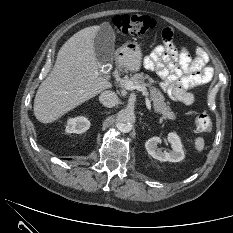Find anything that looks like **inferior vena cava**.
Instances as JSON below:
<instances>
[{
	"label": "inferior vena cava",
	"mask_w": 233,
	"mask_h": 233,
	"mask_svg": "<svg viewBox=\"0 0 233 233\" xmlns=\"http://www.w3.org/2000/svg\"><path fill=\"white\" fill-rule=\"evenodd\" d=\"M99 100L104 106L111 108L118 103L119 98L113 91H104L100 94Z\"/></svg>",
	"instance_id": "1"
}]
</instances>
